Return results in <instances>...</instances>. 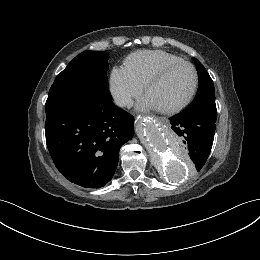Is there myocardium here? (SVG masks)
I'll return each instance as SVG.
<instances>
[{
    "label": "myocardium",
    "instance_id": "myocardium-1",
    "mask_svg": "<svg viewBox=\"0 0 260 260\" xmlns=\"http://www.w3.org/2000/svg\"><path fill=\"white\" fill-rule=\"evenodd\" d=\"M179 65H186L189 67L190 71H191V82L189 85L188 90L186 91V93L183 95L182 98H180L179 100H177L176 102L161 107L160 110L163 112H172L177 110L178 108H180L181 106H183L191 97V95L194 92V89L196 87V83H197V73L196 70L194 68V66L185 60H178V61H174L168 64H165L163 66H161L160 68H158L154 73H152L146 83H145V92L147 93L149 91V89L156 83L158 82L169 70L173 69L176 66Z\"/></svg>",
    "mask_w": 260,
    "mask_h": 260
}]
</instances>
